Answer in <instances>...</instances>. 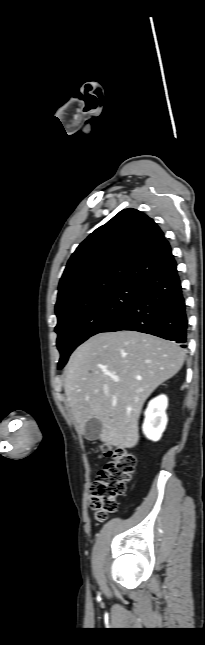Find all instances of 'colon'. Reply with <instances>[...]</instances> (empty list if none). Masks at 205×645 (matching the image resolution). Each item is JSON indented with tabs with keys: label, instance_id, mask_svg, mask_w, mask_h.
Wrapping results in <instances>:
<instances>
[{
	"label": "colon",
	"instance_id": "1",
	"mask_svg": "<svg viewBox=\"0 0 205 645\" xmlns=\"http://www.w3.org/2000/svg\"><path fill=\"white\" fill-rule=\"evenodd\" d=\"M101 451L111 461L99 471L90 498L91 509L100 522L116 511V498L125 493L136 465L135 457L123 448L103 446Z\"/></svg>",
	"mask_w": 205,
	"mask_h": 645
}]
</instances>
